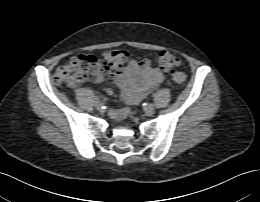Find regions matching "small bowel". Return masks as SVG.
I'll list each match as a JSON object with an SVG mask.
<instances>
[{
	"label": "small bowel",
	"mask_w": 260,
	"mask_h": 202,
	"mask_svg": "<svg viewBox=\"0 0 260 202\" xmlns=\"http://www.w3.org/2000/svg\"><path fill=\"white\" fill-rule=\"evenodd\" d=\"M108 81L116 84L122 92L124 102L137 105L149 93L156 89L165 78L162 71L153 66L148 59L131 60L125 67L111 68L104 71L93 82ZM109 95L113 94L112 89L105 88ZM129 108H122L112 112V116L121 121L127 117Z\"/></svg>",
	"instance_id": "c3829d8e"
}]
</instances>
